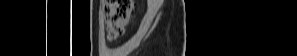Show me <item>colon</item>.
I'll return each instance as SVG.
<instances>
[{"mask_svg": "<svg viewBox=\"0 0 297 56\" xmlns=\"http://www.w3.org/2000/svg\"><path fill=\"white\" fill-rule=\"evenodd\" d=\"M107 35L110 40L121 37L135 11L133 0H111L107 1L104 7Z\"/></svg>", "mask_w": 297, "mask_h": 56, "instance_id": "5ec220e1", "label": "colon"}]
</instances>
